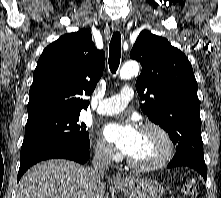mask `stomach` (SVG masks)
<instances>
[{"mask_svg": "<svg viewBox=\"0 0 221 198\" xmlns=\"http://www.w3.org/2000/svg\"><path fill=\"white\" fill-rule=\"evenodd\" d=\"M115 185L129 198H161L164 194L162 185L152 179L130 177L125 183Z\"/></svg>", "mask_w": 221, "mask_h": 198, "instance_id": "1", "label": "stomach"}]
</instances>
